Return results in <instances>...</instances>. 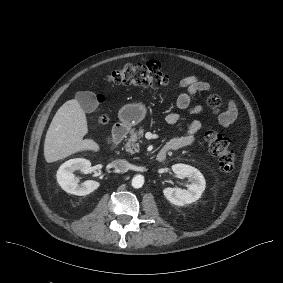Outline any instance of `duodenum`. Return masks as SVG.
Here are the masks:
<instances>
[{"label": "duodenum", "instance_id": "410a0bca", "mask_svg": "<svg viewBox=\"0 0 283 283\" xmlns=\"http://www.w3.org/2000/svg\"><path fill=\"white\" fill-rule=\"evenodd\" d=\"M127 133H128L127 125L125 123H117L113 127V131H112L113 147H116L117 145H119L123 141V139L126 137ZM167 152H168L167 147L161 148L156 154V160L158 162H163L167 157Z\"/></svg>", "mask_w": 283, "mask_h": 283}]
</instances>
